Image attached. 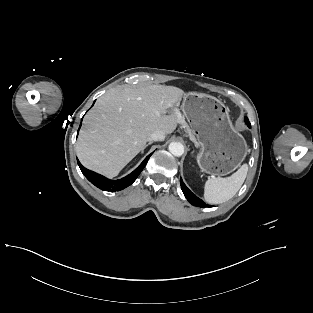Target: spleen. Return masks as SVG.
Listing matches in <instances>:
<instances>
[{
    "mask_svg": "<svg viewBox=\"0 0 313 313\" xmlns=\"http://www.w3.org/2000/svg\"><path fill=\"white\" fill-rule=\"evenodd\" d=\"M248 165L243 164L234 174L226 178H211L204 185V199L209 204H221L239 191L247 176Z\"/></svg>",
    "mask_w": 313,
    "mask_h": 313,
    "instance_id": "spleen-1",
    "label": "spleen"
}]
</instances>
